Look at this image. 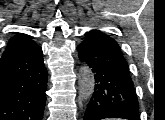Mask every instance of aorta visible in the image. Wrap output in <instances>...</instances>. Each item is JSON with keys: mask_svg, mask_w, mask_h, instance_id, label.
I'll use <instances>...</instances> for the list:
<instances>
[{"mask_svg": "<svg viewBox=\"0 0 165 120\" xmlns=\"http://www.w3.org/2000/svg\"><path fill=\"white\" fill-rule=\"evenodd\" d=\"M79 78V95L82 100H88L95 87V79L92 70L87 66L83 65L78 74Z\"/></svg>", "mask_w": 165, "mask_h": 120, "instance_id": "1", "label": "aorta"}]
</instances>
